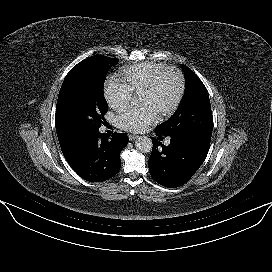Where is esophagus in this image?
I'll use <instances>...</instances> for the list:
<instances>
[{"label": "esophagus", "instance_id": "34e87169", "mask_svg": "<svg viewBox=\"0 0 272 272\" xmlns=\"http://www.w3.org/2000/svg\"><path fill=\"white\" fill-rule=\"evenodd\" d=\"M128 137H129L130 141L135 140L136 138H138V136L134 135V134H129Z\"/></svg>", "mask_w": 272, "mask_h": 272}]
</instances>
